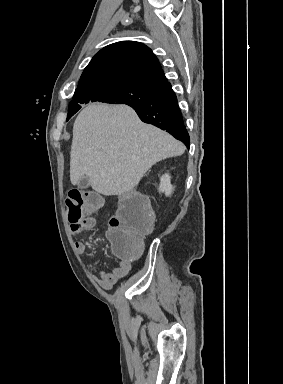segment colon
I'll return each instance as SVG.
<instances>
[{
    "label": "colon",
    "instance_id": "5ec220e1",
    "mask_svg": "<svg viewBox=\"0 0 283 384\" xmlns=\"http://www.w3.org/2000/svg\"><path fill=\"white\" fill-rule=\"evenodd\" d=\"M103 205V198L98 194L72 189L66 197L67 219L71 225L78 226L87 214L99 211ZM153 223V213L139 192L122 194L109 222L108 238L113 253L124 261L139 257L144 236L151 232Z\"/></svg>",
    "mask_w": 283,
    "mask_h": 384
}]
</instances>
